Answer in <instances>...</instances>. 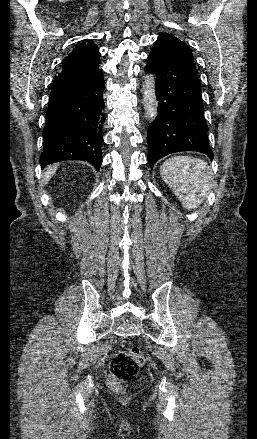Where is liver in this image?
<instances>
[{
	"instance_id": "obj_1",
	"label": "liver",
	"mask_w": 257,
	"mask_h": 439,
	"mask_svg": "<svg viewBox=\"0 0 257 439\" xmlns=\"http://www.w3.org/2000/svg\"><path fill=\"white\" fill-rule=\"evenodd\" d=\"M57 170V166H50L44 174V183H47Z\"/></svg>"
}]
</instances>
